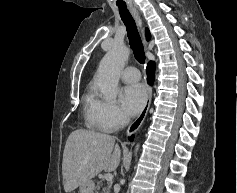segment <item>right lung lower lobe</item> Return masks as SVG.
Returning <instances> with one entry per match:
<instances>
[{"instance_id":"1","label":"right lung lower lobe","mask_w":237,"mask_h":193,"mask_svg":"<svg viewBox=\"0 0 237 193\" xmlns=\"http://www.w3.org/2000/svg\"><path fill=\"white\" fill-rule=\"evenodd\" d=\"M154 67H155L154 62H150L147 67V74H148L147 80H148V83L151 85L153 84V81H154ZM133 139H134L133 135L129 137L130 141H133Z\"/></svg>"}]
</instances>
